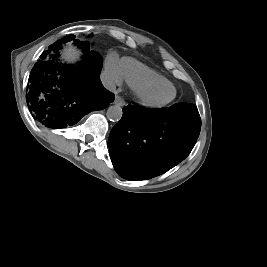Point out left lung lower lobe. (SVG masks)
<instances>
[{"instance_id":"obj_1","label":"left lung lower lobe","mask_w":267,"mask_h":267,"mask_svg":"<svg viewBox=\"0 0 267 267\" xmlns=\"http://www.w3.org/2000/svg\"><path fill=\"white\" fill-rule=\"evenodd\" d=\"M200 127L198 109L192 104L161 109L126 106L108 139L113 166L128 180L156 177L188 156Z\"/></svg>"}]
</instances>
